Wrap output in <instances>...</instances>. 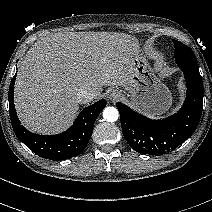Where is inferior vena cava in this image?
Segmentation results:
<instances>
[{"instance_id": "602c4592", "label": "inferior vena cava", "mask_w": 212, "mask_h": 212, "mask_svg": "<svg viewBox=\"0 0 212 212\" xmlns=\"http://www.w3.org/2000/svg\"><path fill=\"white\" fill-rule=\"evenodd\" d=\"M95 97L93 92H89L87 90H79L76 95V100L80 104H85L92 101Z\"/></svg>"}]
</instances>
